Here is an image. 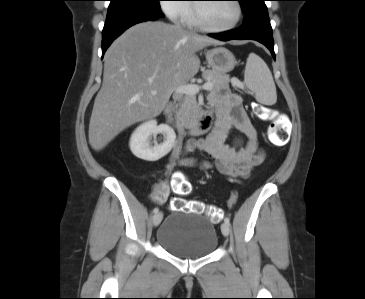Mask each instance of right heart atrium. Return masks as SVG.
I'll return each instance as SVG.
<instances>
[{
  "mask_svg": "<svg viewBox=\"0 0 365 299\" xmlns=\"http://www.w3.org/2000/svg\"><path fill=\"white\" fill-rule=\"evenodd\" d=\"M179 0H161V9L174 22L184 21L189 6Z\"/></svg>",
  "mask_w": 365,
  "mask_h": 299,
  "instance_id": "1",
  "label": "right heart atrium"
}]
</instances>
